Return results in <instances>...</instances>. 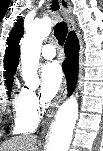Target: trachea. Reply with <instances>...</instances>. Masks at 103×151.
<instances>
[{
    "label": "trachea",
    "instance_id": "trachea-1",
    "mask_svg": "<svg viewBox=\"0 0 103 151\" xmlns=\"http://www.w3.org/2000/svg\"><path fill=\"white\" fill-rule=\"evenodd\" d=\"M51 9L55 11L59 9L57 0L52 1ZM67 32L68 28L64 22L57 23L56 26L54 27V35L60 45L64 44Z\"/></svg>",
    "mask_w": 103,
    "mask_h": 151
}]
</instances>
